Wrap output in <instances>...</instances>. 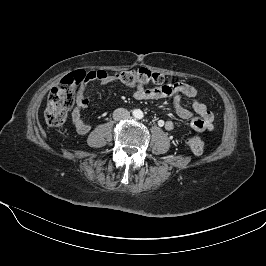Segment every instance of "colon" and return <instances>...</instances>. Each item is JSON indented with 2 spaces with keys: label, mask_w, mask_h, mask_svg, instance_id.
<instances>
[{
  "label": "colon",
  "mask_w": 266,
  "mask_h": 266,
  "mask_svg": "<svg viewBox=\"0 0 266 266\" xmlns=\"http://www.w3.org/2000/svg\"><path fill=\"white\" fill-rule=\"evenodd\" d=\"M117 79L126 86L163 83L164 78L159 73L146 68L123 71L117 74ZM89 81L88 73L77 71L62 78L60 83L49 93L44 113L47 124L55 127L62 126L67 119L69 109L73 106L75 89ZM187 147L196 155L204 150V141L200 136H191L186 141Z\"/></svg>",
  "instance_id": "colon-1"
}]
</instances>
